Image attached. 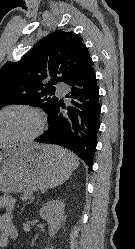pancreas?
I'll list each match as a JSON object with an SVG mask.
<instances>
[{"instance_id": "pancreas-1", "label": "pancreas", "mask_w": 135, "mask_h": 249, "mask_svg": "<svg viewBox=\"0 0 135 249\" xmlns=\"http://www.w3.org/2000/svg\"><path fill=\"white\" fill-rule=\"evenodd\" d=\"M32 198V192L31 191H27L25 192L22 196H21V199L22 200H28V199H31Z\"/></svg>"}]
</instances>
